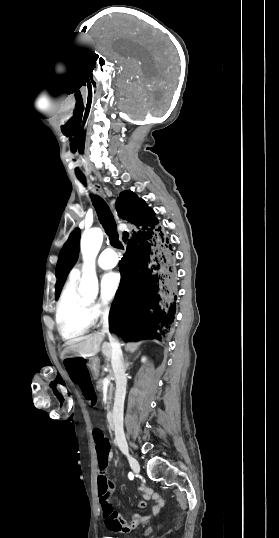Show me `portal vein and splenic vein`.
<instances>
[{
	"label": "portal vein and splenic vein",
	"instance_id": "obj_1",
	"mask_svg": "<svg viewBox=\"0 0 279 538\" xmlns=\"http://www.w3.org/2000/svg\"><path fill=\"white\" fill-rule=\"evenodd\" d=\"M103 385H104L105 387H108V386L110 385V380H109L108 376H107V378H105V380H104V382H103Z\"/></svg>",
	"mask_w": 279,
	"mask_h": 538
}]
</instances>
